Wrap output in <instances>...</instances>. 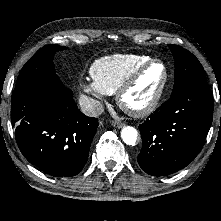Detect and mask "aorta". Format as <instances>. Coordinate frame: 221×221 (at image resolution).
I'll list each match as a JSON object with an SVG mask.
<instances>
[{"instance_id":"aorta-1","label":"aorta","mask_w":221,"mask_h":221,"mask_svg":"<svg viewBox=\"0 0 221 221\" xmlns=\"http://www.w3.org/2000/svg\"><path fill=\"white\" fill-rule=\"evenodd\" d=\"M121 138L127 145L134 146L138 138V132L132 126H125L121 130Z\"/></svg>"}]
</instances>
